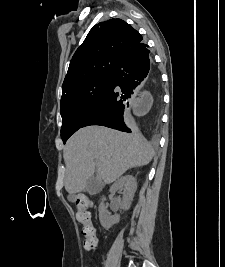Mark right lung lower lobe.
Listing matches in <instances>:
<instances>
[{
	"instance_id": "1",
	"label": "right lung lower lobe",
	"mask_w": 225,
	"mask_h": 267,
	"mask_svg": "<svg viewBox=\"0 0 225 267\" xmlns=\"http://www.w3.org/2000/svg\"><path fill=\"white\" fill-rule=\"evenodd\" d=\"M145 84H150L157 90L160 81L148 45L141 42L121 56L103 99L81 127L101 125L130 132L124 123V112H127L129 103L137 92L135 89Z\"/></svg>"
}]
</instances>
